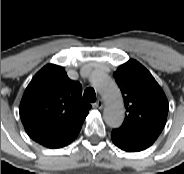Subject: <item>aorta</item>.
<instances>
[{"instance_id":"obj_1","label":"aorta","mask_w":184,"mask_h":174,"mask_svg":"<svg viewBox=\"0 0 184 174\" xmlns=\"http://www.w3.org/2000/svg\"><path fill=\"white\" fill-rule=\"evenodd\" d=\"M91 79L106 102L104 110L106 124L113 128L121 126L124 120V104L118 86L104 73H93Z\"/></svg>"}]
</instances>
